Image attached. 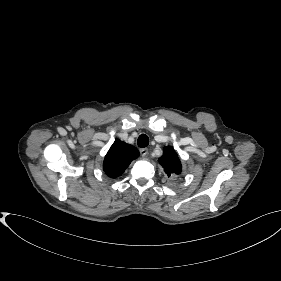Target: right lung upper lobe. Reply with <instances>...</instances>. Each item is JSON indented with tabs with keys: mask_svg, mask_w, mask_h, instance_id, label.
<instances>
[{
	"mask_svg": "<svg viewBox=\"0 0 281 281\" xmlns=\"http://www.w3.org/2000/svg\"><path fill=\"white\" fill-rule=\"evenodd\" d=\"M139 156V151L132 145L116 140L105 156L103 168L112 178L121 175L129 164Z\"/></svg>",
	"mask_w": 281,
	"mask_h": 281,
	"instance_id": "cb5924a9",
	"label": "right lung upper lobe"
}]
</instances>
